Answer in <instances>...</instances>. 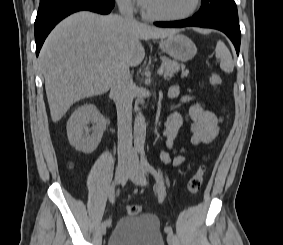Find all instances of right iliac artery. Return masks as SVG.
<instances>
[{
  "label": "right iliac artery",
  "instance_id": "82829eb1",
  "mask_svg": "<svg viewBox=\"0 0 283 245\" xmlns=\"http://www.w3.org/2000/svg\"><path fill=\"white\" fill-rule=\"evenodd\" d=\"M108 196H109L110 202L113 204L114 201H115V185L114 184H112V186L110 187ZM105 222L107 224H109V225L111 224V220L110 219H107Z\"/></svg>",
  "mask_w": 283,
  "mask_h": 245
}]
</instances>
